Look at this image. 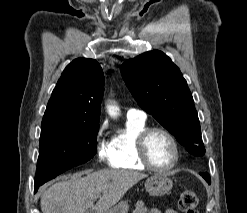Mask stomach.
<instances>
[{"mask_svg": "<svg viewBox=\"0 0 247 213\" xmlns=\"http://www.w3.org/2000/svg\"><path fill=\"white\" fill-rule=\"evenodd\" d=\"M173 182L163 174H154L145 182L147 192L152 196H163L170 192ZM129 205L126 201H121L103 213H128Z\"/></svg>", "mask_w": 247, "mask_h": 213, "instance_id": "0dacf381", "label": "stomach"}]
</instances>
